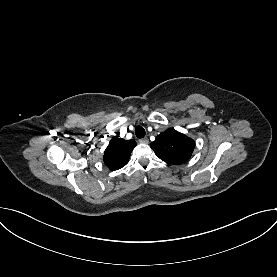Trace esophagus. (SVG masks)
<instances>
[{
	"label": "esophagus",
	"instance_id": "34e87169",
	"mask_svg": "<svg viewBox=\"0 0 277 277\" xmlns=\"http://www.w3.org/2000/svg\"><path fill=\"white\" fill-rule=\"evenodd\" d=\"M139 143H141V144H148L149 140H148V138H141V139H139Z\"/></svg>",
	"mask_w": 277,
	"mask_h": 277
}]
</instances>
